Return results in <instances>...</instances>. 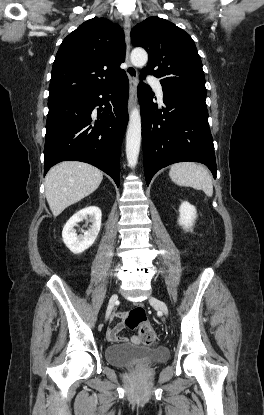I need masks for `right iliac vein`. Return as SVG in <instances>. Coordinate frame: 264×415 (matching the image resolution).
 <instances>
[{"mask_svg": "<svg viewBox=\"0 0 264 415\" xmlns=\"http://www.w3.org/2000/svg\"><path fill=\"white\" fill-rule=\"evenodd\" d=\"M117 300H118V295L116 293L113 294L110 297V300H109V303H108V307H107V310H106V314H105V321L108 320V318H109V316H110V314H111V312H112V310L114 308V305L116 304Z\"/></svg>", "mask_w": 264, "mask_h": 415, "instance_id": "right-iliac-vein-1", "label": "right iliac vein"}]
</instances>
